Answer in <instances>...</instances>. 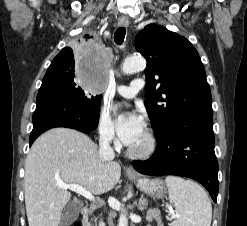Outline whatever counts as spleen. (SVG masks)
<instances>
[{
    "mask_svg": "<svg viewBox=\"0 0 247 226\" xmlns=\"http://www.w3.org/2000/svg\"><path fill=\"white\" fill-rule=\"evenodd\" d=\"M169 200L180 215L171 226H210L212 206L207 193L197 183L180 177L165 179Z\"/></svg>",
    "mask_w": 247,
    "mask_h": 226,
    "instance_id": "spleen-1",
    "label": "spleen"
}]
</instances>
